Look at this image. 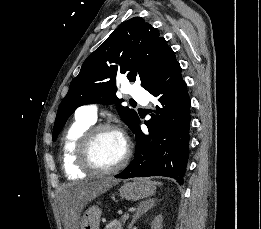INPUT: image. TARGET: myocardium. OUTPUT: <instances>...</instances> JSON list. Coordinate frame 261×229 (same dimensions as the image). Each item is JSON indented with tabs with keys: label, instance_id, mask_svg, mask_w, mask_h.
I'll return each mask as SVG.
<instances>
[{
	"label": "myocardium",
	"instance_id": "1",
	"mask_svg": "<svg viewBox=\"0 0 261 229\" xmlns=\"http://www.w3.org/2000/svg\"><path fill=\"white\" fill-rule=\"evenodd\" d=\"M107 131L120 134L123 137L126 146L125 154L122 160L117 165L110 168H104L100 166L93 158V147L98 136L101 133ZM77 152H78V161L80 165L86 171H89L97 175H109L120 171L128 164L131 155L130 146L127 140L125 139L122 130L119 129L117 126L111 124L96 125L91 127L88 131H86L79 142Z\"/></svg>",
	"mask_w": 261,
	"mask_h": 229
}]
</instances>
